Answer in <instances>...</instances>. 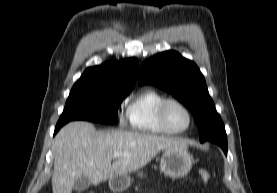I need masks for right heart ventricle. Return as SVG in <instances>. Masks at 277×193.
<instances>
[{"instance_id":"1","label":"right heart ventricle","mask_w":277,"mask_h":193,"mask_svg":"<svg viewBox=\"0 0 277 193\" xmlns=\"http://www.w3.org/2000/svg\"><path fill=\"white\" fill-rule=\"evenodd\" d=\"M164 99L166 97L153 88H145L132 97L126 107L131 129L143 134H165L158 121V108Z\"/></svg>"}]
</instances>
